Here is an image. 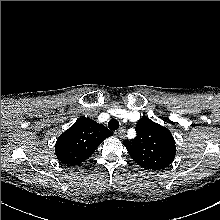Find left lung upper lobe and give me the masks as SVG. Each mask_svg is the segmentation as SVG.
<instances>
[{
  "mask_svg": "<svg viewBox=\"0 0 220 220\" xmlns=\"http://www.w3.org/2000/svg\"><path fill=\"white\" fill-rule=\"evenodd\" d=\"M136 131V137L125 140L123 144L138 165L147 169L160 170L173 162L176 146L168 129L148 117H143L137 122Z\"/></svg>",
  "mask_w": 220,
  "mask_h": 220,
  "instance_id": "1",
  "label": "left lung upper lobe"
}]
</instances>
